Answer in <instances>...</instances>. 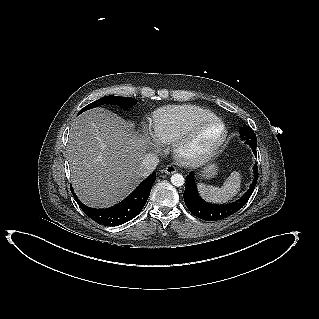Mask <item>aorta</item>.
<instances>
[{"mask_svg": "<svg viewBox=\"0 0 319 319\" xmlns=\"http://www.w3.org/2000/svg\"><path fill=\"white\" fill-rule=\"evenodd\" d=\"M171 183L176 187H180L185 183V179L181 174L176 173L171 176Z\"/></svg>", "mask_w": 319, "mask_h": 319, "instance_id": "1", "label": "aorta"}]
</instances>
